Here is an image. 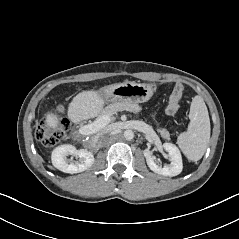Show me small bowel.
<instances>
[{"label": "small bowel", "mask_w": 239, "mask_h": 239, "mask_svg": "<svg viewBox=\"0 0 239 239\" xmlns=\"http://www.w3.org/2000/svg\"><path fill=\"white\" fill-rule=\"evenodd\" d=\"M181 93H182L181 86H179V85L176 86L174 88V91H173V96H172V98H171V100H170V102H169V104L167 106V113L168 114L173 115V114H175L177 112L178 107H179L178 99H179Z\"/></svg>", "instance_id": "1"}]
</instances>
